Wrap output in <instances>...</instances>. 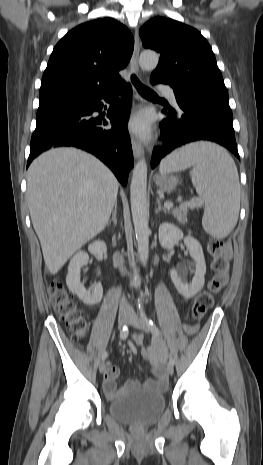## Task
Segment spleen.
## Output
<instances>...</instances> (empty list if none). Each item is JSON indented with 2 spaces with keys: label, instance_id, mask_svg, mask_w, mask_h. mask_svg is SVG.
Segmentation results:
<instances>
[{
  "label": "spleen",
  "instance_id": "spleen-1",
  "mask_svg": "<svg viewBox=\"0 0 263 465\" xmlns=\"http://www.w3.org/2000/svg\"><path fill=\"white\" fill-rule=\"evenodd\" d=\"M190 176L205 202L202 226L215 238H225L235 227L240 210V184L236 165L228 152L209 142H197L167 156L162 175L191 168Z\"/></svg>",
  "mask_w": 263,
  "mask_h": 465
}]
</instances>
